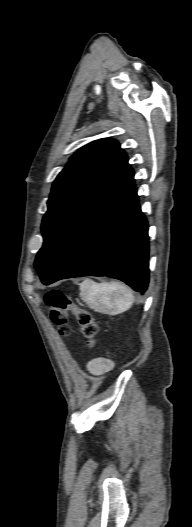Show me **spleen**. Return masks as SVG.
I'll return each mask as SVG.
<instances>
[{
    "instance_id": "spleen-1",
    "label": "spleen",
    "mask_w": 192,
    "mask_h": 527,
    "mask_svg": "<svg viewBox=\"0 0 192 527\" xmlns=\"http://www.w3.org/2000/svg\"><path fill=\"white\" fill-rule=\"evenodd\" d=\"M82 299L99 312L119 314L128 310L134 303L132 290L118 282L96 283L85 279L80 284Z\"/></svg>"
}]
</instances>
